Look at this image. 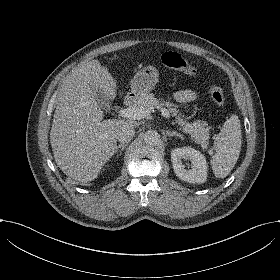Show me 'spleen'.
<instances>
[{
    "instance_id": "obj_1",
    "label": "spleen",
    "mask_w": 280,
    "mask_h": 280,
    "mask_svg": "<svg viewBox=\"0 0 280 280\" xmlns=\"http://www.w3.org/2000/svg\"><path fill=\"white\" fill-rule=\"evenodd\" d=\"M242 135L238 116L232 115L214 141L215 155L210 161L216 177L225 178L234 168L240 154Z\"/></svg>"
}]
</instances>
